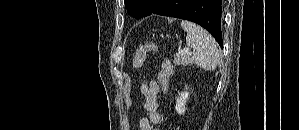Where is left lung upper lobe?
Segmentation results:
<instances>
[{"label":"left lung upper lobe","mask_w":299,"mask_h":130,"mask_svg":"<svg viewBox=\"0 0 299 130\" xmlns=\"http://www.w3.org/2000/svg\"><path fill=\"white\" fill-rule=\"evenodd\" d=\"M152 0H125L128 14L135 18L143 17Z\"/></svg>","instance_id":"obj_1"}]
</instances>
